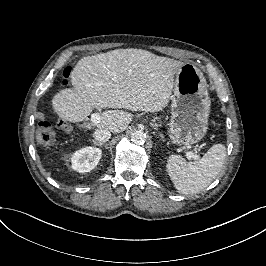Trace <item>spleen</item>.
<instances>
[{
    "instance_id": "3e777b00",
    "label": "spleen",
    "mask_w": 266,
    "mask_h": 266,
    "mask_svg": "<svg viewBox=\"0 0 266 266\" xmlns=\"http://www.w3.org/2000/svg\"><path fill=\"white\" fill-rule=\"evenodd\" d=\"M226 157L223 144L213 145L204 156L187 162L180 155H171L166 165L175 188L182 194H196L207 188L220 174Z\"/></svg>"
}]
</instances>
